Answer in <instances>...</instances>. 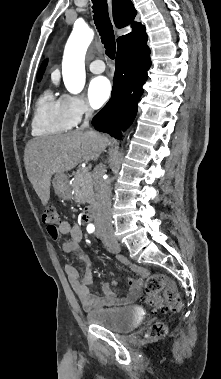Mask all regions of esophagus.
<instances>
[{"label": "esophagus", "mask_w": 221, "mask_h": 379, "mask_svg": "<svg viewBox=\"0 0 221 379\" xmlns=\"http://www.w3.org/2000/svg\"><path fill=\"white\" fill-rule=\"evenodd\" d=\"M108 4H109V9H110V12L112 13V5H111V0H108ZM117 30V29H116Z\"/></svg>", "instance_id": "esophagus-1"}]
</instances>
